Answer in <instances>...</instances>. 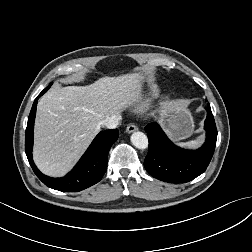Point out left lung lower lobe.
Returning <instances> with one entry per match:
<instances>
[{
  "instance_id": "left-lung-lower-lobe-1",
  "label": "left lung lower lobe",
  "mask_w": 252,
  "mask_h": 252,
  "mask_svg": "<svg viewBox=\"0 0 252 252\" xmlns=\"http://www.w3.org/2000/svg\"><path fill=\"white\" fill-rule=\"evenodd\" d=\"M204 128L206 141L198 150H186L174 145L157 123H150L145 131L149 140V151L144 167L150 175L169 183L189 182L201 175L213 156L217 129L208 104Z\"/></svg>"
}]
</instances>
